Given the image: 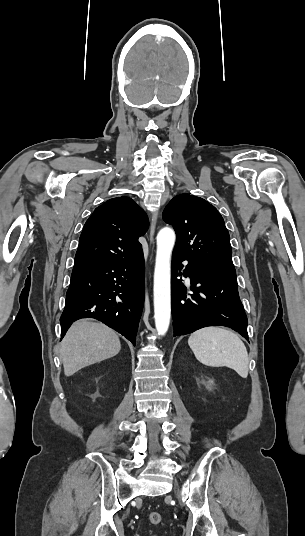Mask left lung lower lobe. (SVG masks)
Instances as JSON below:
<instances>
[{
  "label": "left lung lower lobe",
  "instance_id": "left-lung-lower-lobe-1",
  "mask_svg": "<svg viewBox=\"0 0 305 536\" xmlns=\"http://www.w3.org/2000/svg\"><path fill=\"white\" fill-rule=\"evenodd\" d=\"M185 259L173 254L171 276V309L174 337L190 334L208 326H226L248 340L247 316L238 294L236 274L201 269L188 263L181 273ZM184 275L191 279V291L183 287ZM197 285V286H196Z\"/></svg>",
  "mask_w": 305,
  "mask_h": 536
}]
</instances>
